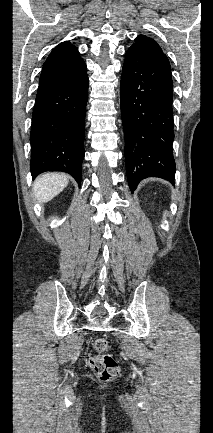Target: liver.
<instances>
[{"instance_id": "obj_1", "label": "liver", "mask_w": 213, "mask_h": 433, "mask_svg": "<svg viewBox=\"0 0 213 433\" xmlns=\"http://www.w3.org/2000/svg\"><path fill=\"white\" fill-rule=\"evenodd\" d=\"M68 179L63 173L48 172L40 175L33 185L35 198L40 203L52 200L66 188Z\"/></svg>"}]
</instances>
